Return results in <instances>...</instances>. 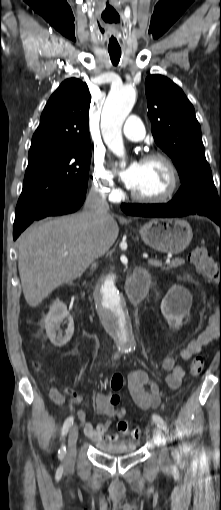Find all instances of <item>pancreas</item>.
<instances>
[{
  "label": "pancreas",
  "mask_w": 221,
  "mask_h": 510,
  "mask_svg": "<svg viewBox=\"0 0 221 510\" xmlns=\"http://www.w3.org/2000/svg\"><path fill=\"white\" fill-rule=\"evenodd\" d=\"M185 262L183 259H180V258H176V259H173L170 263H168V265L166 266H161V269L162 270H170V269H173V268H177L181 265H183Z\"/></svg>",
  "instance_id": "1"
}]
</instances>
